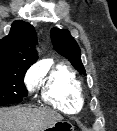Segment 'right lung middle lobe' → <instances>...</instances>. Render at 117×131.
Segmentation results:
<instances>
[{
	"instance_id": "1",
	"label": "right lung middle lobe",
	"mask_w": 117,
	"mask_h": 131,
	"mask_svg": "<svg viewBox=\"0 0 117 131\" xmlns=\"http://www.w3.org/2000/svg\"><path fill=\"white\" fill-rule=\"evenodd\" d=\"M27 69L20 65L0 67V106L19 103L27 96L23 82Z\"/></svg>"
}]
</instances>
